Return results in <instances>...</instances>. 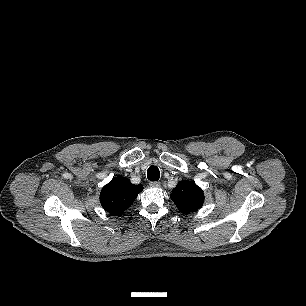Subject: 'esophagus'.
I'll list each match as a JSON object with an SVG mask.
<instances>
[{
    "mask_svg": "<svg viewBox=\"0 0 306 306\" xmlns=\"http://www.w3.org/2000/svg\"><path fill=\"white\" fill-rule=\"evenodd\" d=\"M149 185L150 187H160L161 183L158 181H151Z\"/></svg>",
    "mask_w": 306,
    "mask_h": 306,
    "instance_id": "1",
    "label": "esophagus"
}]
</instances>
